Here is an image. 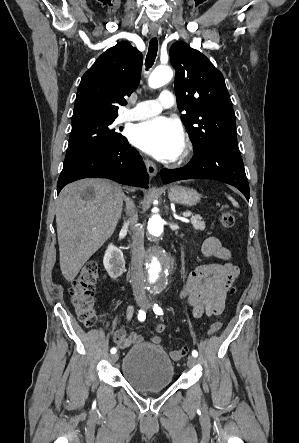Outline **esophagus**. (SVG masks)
Returning a JSON list of instances; mask_svg holds the SVG:
<instances>
[{
	"mask_svg": "<svg viewBox=\"0 0 299 443\" xmlns=\"http://www.w3.org/2000/svg\"><path fill=\"white\" fill-rule=\"evenodd\" d=\"M157 31H158L157 27H150V33L152 35H156ZM144 162H145L146 169H147V172H148L149 176L150 177L156 176V174H157V167H156V165L152 161H150L148 159H146Z\"/></svg>",
	"mask_w": 299,
	"mask_h": 443,
	"instance_id": "1",
	"label": "esophagus"
}]
</instances>
